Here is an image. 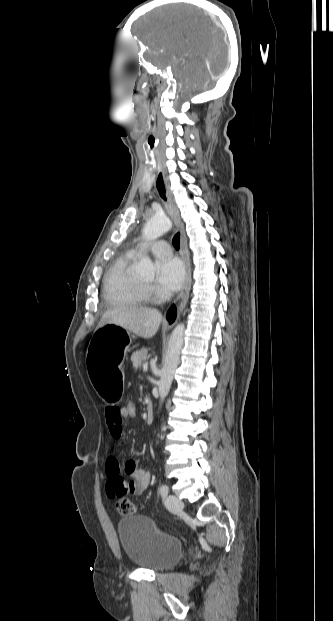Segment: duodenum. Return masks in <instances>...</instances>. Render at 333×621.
I'll return each mask as SVG.
<instances>
[{"label":"duodenum","mask_w":333,"mask_h":621,"mask_svg":"<svg viewBox=\"0 0 333 621\" xmlns=\"http://www.w3.org/2000/svg\"><path fill=\"white\" fill-rule=\"evenodd\" d=\"M146 419H147V422H152V420H153V408H152V406L150 404H148V407H147V417H146Z\"/></svg>","instance_id":"obj_1"}]
</instances>
